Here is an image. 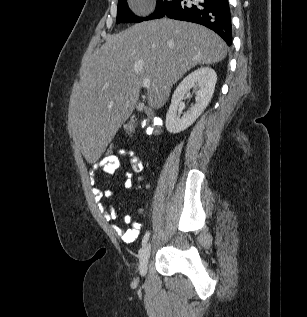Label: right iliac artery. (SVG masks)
Listing matches in <instances>:
<instances>
[{"label": "right iliac artery", "mask_w": 307, "mask_h": 317, "mask_svg": "<svg viewBox=\"0 0 307 317\" xmlns=\"http://www.w3.org/2000/svg\"><path fill=\"white\" fill-rule=\"evenodd\" d=\"M149 236H150V232L148 231L142 239V246L146 245L147 241L149 240Z\"/></svg>", "instance_id": "obj_1"}]
</instances>
